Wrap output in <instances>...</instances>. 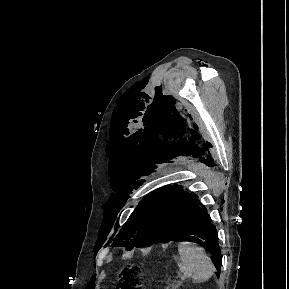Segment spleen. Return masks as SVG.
<instances>
[{
	"label": "spleen",
	"mask_w": 289,
	"mask_h": 289,
	"mask_svg": "<svg viewBox=\"0 0 289 289\" xmlns=\"http://www.w3.org/2000/svg\"><path fill=\"white\" fill-rule=\"evenodd\" d=\"M178 252L177 266L181 276L192 278L195 283H202L214 274L215 267L203 248L181 242L178 245Z\"/></svg>",
	"instance_id": "1"
}]
</instances>
